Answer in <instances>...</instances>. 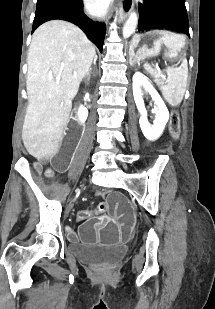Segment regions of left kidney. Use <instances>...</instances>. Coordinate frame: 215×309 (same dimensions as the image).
Here are the masks:
<instances>
[{"instance_id":"left-kidney-1","label":"left kidney","mask_w":215,"mask_h":309,"mask_svg":"<svg viewBox=\"0 0 215 309\" xmlns=\"http://www.w3.org/2000/svg\"><path fill=\"white\" fill-rule=\"evenodd\" d=\"M141 88H145V90L151 94L153 100H155L154 104H156V106L152 108V112L155 114L153 124L148 122L147 110L142 98L143 90H141ZM133 96L141 114L139 124L144 136H146L148 140H157L158 136L162 134L166 122H168L169 110L160 94H158L157 90H155L154 86L149 82L147 76H144L142 72H135V74H133Z\"/></svg>"}]
</instances>
